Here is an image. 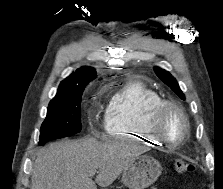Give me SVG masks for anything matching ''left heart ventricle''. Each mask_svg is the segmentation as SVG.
I'll list each match as a JSON object with an SVG mask.
<instances>
[{
    "mask_svg": "<svg viewBox=\"0 0 223 189\" xmlns=\"http://www.w3.org/2000/svg\"><path fill=\"white\" fill-rule=\"evenodd\" d=\"M162 133L170 141H178L184 133V123L178 112L169 110L162 120Z\"/></svg>",
    "mask_w": 223,
    "mask_h": 189,
    "instance_id": "b2bd125f",
    "label": "left heart ventricle"
}]
</instances>
